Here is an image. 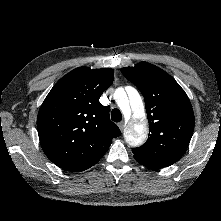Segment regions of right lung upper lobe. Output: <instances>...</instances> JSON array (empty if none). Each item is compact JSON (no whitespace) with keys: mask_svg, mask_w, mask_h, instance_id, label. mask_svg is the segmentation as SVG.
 <instances>
[{"mask_svg":"<svg viewBox=\"0 0 221 221\" xmlns=\"http://www.w3.org/2000/svg\"><path fill=\"white\" fill-rule=\"evenodd\" d=\"M114 80L111 68L79 67L62 77L40 107L37 130L45 155L66 171H83L121 135L99 97Z\"/></svg>","mask_w":221,"mask_h":221,"instance_id":"right-lung-upper-lobe-1","label":"right lung upper lobe"}]
</instances>
